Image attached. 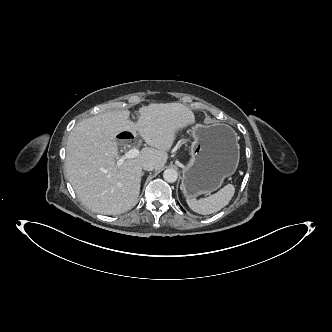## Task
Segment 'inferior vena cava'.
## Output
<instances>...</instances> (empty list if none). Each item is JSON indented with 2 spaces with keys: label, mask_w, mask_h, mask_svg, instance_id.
I'll use <instances>...</instances> for the list:
<instances>
[{
  "label": "inferior vena cava",
  "mask_w": 332,
  "mask_h": 332,
  "mask_svg": "<svg viewBox=\"0 0 332 332\" xmlns=\"http://www.w3.org/2000/svg\"><path fill=\"white\" fill-rule=\"evenodd\" d=\"M155 163L153 161H145L143 164H142V168L146 171H152L153 169H155Z\"/></svg>",
  "instance_id": "inferior-vena-cava-1"
}]
</instances>
